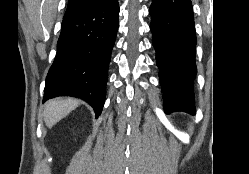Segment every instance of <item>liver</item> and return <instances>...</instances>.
<instances>
[{"mask_svg":"<svg viewBox=\"0 0 249 174\" xmlns=\"http://www.w3.org/2000/svg\"><path fill=\"white\" fill-rule=\"evenodd\" d=\"M79 105L74 98H59L49 101L43 112L46 125L51 128Z\"/></svg>","mask_w":249,"mask_h":174,"instance_id":"liver-1","label":"liver"}]
</instances>
